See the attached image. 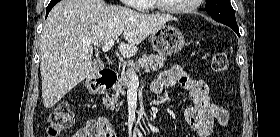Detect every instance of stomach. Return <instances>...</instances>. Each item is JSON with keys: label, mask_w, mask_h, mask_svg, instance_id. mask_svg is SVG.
I'll use <instances>...</instances> for the list:
<instances>
[{"label": "stomach", "mask_w": 280, "mask_h": 137, "mask_svg": "<svg viewBox=\"0 0 280 137\" xmlns=\"http://www.w3.org/2000/svg\"><path fill=\"white\" fill-rule=\"evenodd\" d=\"M151 44L159 55L169 56L178 53L184 46V37L179 29L163 25L150 36Z\"/></svg>", "instance_id": "obj_1"}]
</instances>
